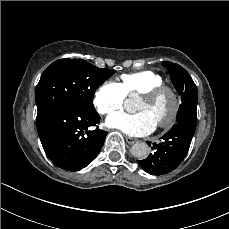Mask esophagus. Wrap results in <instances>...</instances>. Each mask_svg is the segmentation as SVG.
Segmentation results:
<instances>
[{"label":"esophagus","instance_id":"1","mask_svg":"<svg viewBox=\"0 0 229 229\" xmlns=\"http://www.w3.org/2000/svg\"><path fill=\"white\" fill-rule=\"evenodd\" d=\"M126 142L130 145L135 144L136 142H138V139L136 138H132V137H126Z\"/></svg>","mask_w":229,"mask_h":229}]
</instances>
